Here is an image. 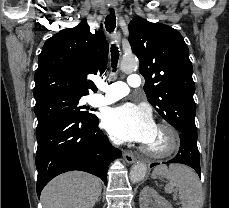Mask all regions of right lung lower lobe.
I'll return each mask as SVG.
<instances>
[{
    "mask_svg": "<svg viewBox=\"0 0 229 208\" xmlns=\"http://www.w3.org/2000/svg\"><path fill=\"white\" fill-rule=\"evenodd\" d=\"M98 118L68 115L37 134V194L55 176L71 171H86L107 183L110 162L120 155L98 128Z\"/></svg>",
    "mask_w": 229,
    "mask_h": 208,
    "instance_id": "right-lung-lower-lobe-1",
    "label": "right lung lower lobe"
}]
</instances>
